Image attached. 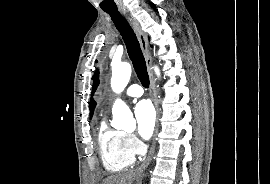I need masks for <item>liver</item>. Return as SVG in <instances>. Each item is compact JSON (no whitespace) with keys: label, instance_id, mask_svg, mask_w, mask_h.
<instances>
[{"label":"liver","instance_id":"liver-1","mask_svg":"<svg viewBox=\"0 0 270 184\" xmlns=\"http://www.w3.org/2000/svg\"><path fill=\"white\" fill-rule=\"evenodd\" d=\"M135 174L128 173L107 177L102 184H131Z\"/></svg>","mask_w":270,"mask_h":184}]
</instances>
